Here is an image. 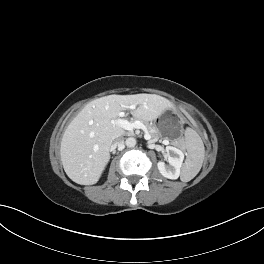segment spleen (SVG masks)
Returning <instances> with one entry per match:
<instances>
[{"instance_id":"1","label":"spleen","mask_w":264,"mask_h":264,"mask_svg":"<svg viewBox=\"0 0 264 264\" xmlns=\"http://www.w3.org/2000/svg\"><path fill=\"white\" fill-rule=\"evenodd\" d=\"M184 142L188 156L182 167L181 180L188 182L199 173L205 157V148L201 137L189 127L185 129Z\"/></svg>"}]
</instances>
